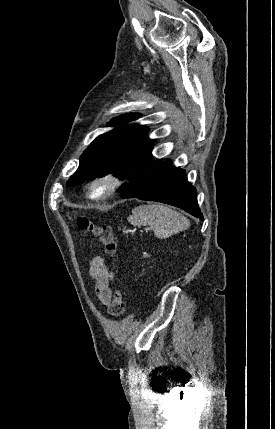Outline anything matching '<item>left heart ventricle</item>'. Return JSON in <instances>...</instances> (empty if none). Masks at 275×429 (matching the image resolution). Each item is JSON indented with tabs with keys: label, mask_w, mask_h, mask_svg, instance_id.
I'll list each match as a JSON object with an SVG mask.
<instances>
[{
	"label": "left heart ventricle",
	"mask_w": 275,
	"mask_h": 429,
	"mask_svg": "<svg viewBox=\"0 0 275 429\" xmlns=\"http://www.w3.org/2000/svg\"><path fill=\"white\" fill-rule=\"evenodd\" d=\"M103 188L102 187H97L95 189V194H100L102 192Z\"/></svg>",
	"instance_id": "left-heart-ventricle-1"
}]
</instances>
